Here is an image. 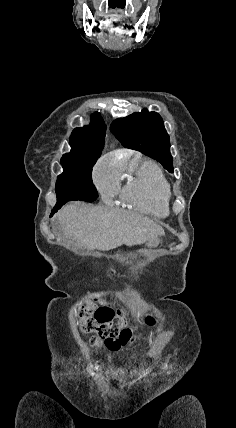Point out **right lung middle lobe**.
Returning a JSON list of instances; mask_svg holds the SVG:
<instances>
[{"label":"right lung middle lobe","instance_id":"right-lung-middle-lobe-1","mask_svg":"<svg viewBox=\"0 0 236 428\" xmlns=\"http://www.w3.org/2000/svg\"><path fill=\"white\" fill-rule=\"evenodd\" d=\"M63 172L57 177V203L54 210L60 209L68 201L83 200L93 202L98 192L92 182L91 165H62Z\"/></svg>","mask_w":236,"mask_h":428}]
</instances>
